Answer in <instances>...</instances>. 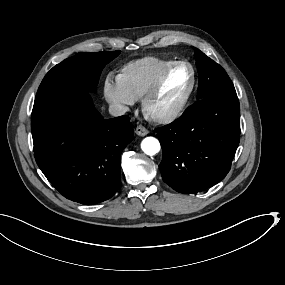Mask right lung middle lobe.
Masks as SVG:
<instances>
[{
    "label": "right lung middle lobe",
    "mask_w": 285,
    "mask_h": 285,
    "mask_svg": "<svg viewBox=\"0 0 285 285\" xmlns=\"http://www.w3.org/2000/svg\"><path fill=\"white\" fill-rule=\"evenodd\" d=\"M120 51L78 53L54 66L42 80L35 101L68 86L96 91L100 74Z\"/></svg>",
    "instance_id": "1"
}]
</instances>
